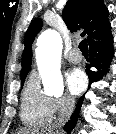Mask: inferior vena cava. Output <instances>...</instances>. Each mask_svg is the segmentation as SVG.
Listing matches in <instances>:
<instances>
[{
	"label": "inferior vena cava",
	"mask_w": 116,
	"mask_h": 134,
	"mask_svg": "<svg viewBox=\"0 0 116 134\" xmlns=\"http://www.w3.org/2000/svg\"><path fill=\"white\" fill-rule=\"evenodd\" d=\"M75 102L72 98L68 97L65 100V105L61 109V112L53 124V128L57 131L61 130L62 126L68 121L73 110H74Z\"/></svg>",
	"instance_id": "602c4592"
}]
</instances>
